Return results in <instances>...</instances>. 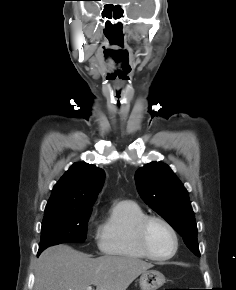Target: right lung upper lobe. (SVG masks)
Here are the masks:
<instances>
[{
	"instance_id": "1",
	"label": "right lung upper lobe",
	"mask_w": 236,
	"mask_h": 290,
	"mask_svg": "<svg viewBox=\"0 0 236 290\" xmlns=\"http://www.w3.org/2000/svg\"><path fill=\"white\" fill-rule=\"evenodd\" d=\"M104 170L92 164L74 163L55 184L45 213L91 210L104 183Z\"/></svg>"
}]
</instances>
